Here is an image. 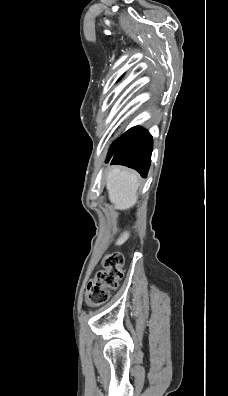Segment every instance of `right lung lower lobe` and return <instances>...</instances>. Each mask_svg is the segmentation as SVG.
Returning a JSON list of instances; mask_svg holds the SVG:
<instances>
[{
	"label": "right lung lower lobe",
	"instance_id": "right-lung-lower-lobe-1",
	"mask_svg": "<svg viewBox=\"0 0 228 396\" xmlns=\"http://www.w3.org/2000/svg\"><path fill=\"white\" fill-rule=\"evenodd\" d=\"M152 152V137L145 129L133 127L112 145L106 163L120 164L137 170L147 176Z\"/></svg>",
	"mask_w": 228,
	"mask_h": 396
}]
</instances>
